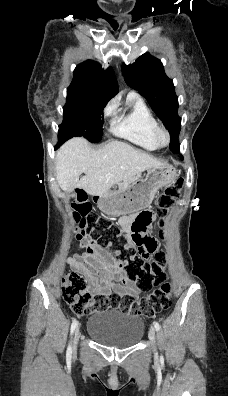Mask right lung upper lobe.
Returning a JSON list of instances; mask_svg holds the SVG:
<instances>
[{
	"label": "right lung upper lobe",
	"mask_w": 228,
	"mask_h": 396,
	"mask_svg": "<svg viewBox=\"0 0 228 396\" xmlns=\"http://www.w3.org/2000/svg\"><path fill=\"white\" fill-rule=\"evenodd\" d=\"M67 90L96 94L108 102L118 93V84L111 67L104 71L99 63L87 60L75 68Z\"/></svg>",
	"instance_id": "1"
}]
</instances>
